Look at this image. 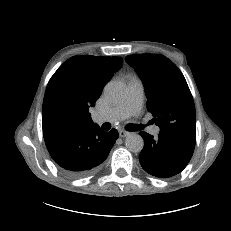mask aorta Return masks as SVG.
Segmentation results:
<instances>
[{
  "instance_id": "1",
  "label": "aorta",
  "mask_w": 231,
  "mask_h": 231,
  "mask_svg": "<svg viewBox=\"0 0 231 231\" xmlns=\"http://www.w3.org/2000/svg\"><path fill=\"white\" fill-rule=\"evenodd\" d=\"M106 98L114 103H119L125 99L126 86L121 81H110L104 88ZM127 149L131 152L138 153L143 149V138L136 133H130L125 140Z\"/></svg>"
}]
</instances>
